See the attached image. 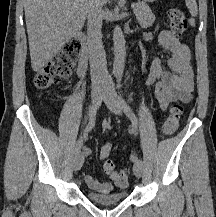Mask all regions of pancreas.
<instances>
[{
  "mask_svg": "<svg viewBox=\"0 0 216 217\" xmlns=\"http://www.w3.org/2000/svg\"><path fill=\"white\" fill-rule=\"evenodd\" d=\"M134 14L141 27L148 28L155 22V15L150 10L149 6L143 2L135 5Z\"/></svg>",
  "mask_w": 216,
  "mask_h": 217,
  "instance_id": "pancreas-1",
  "label": "pancreas"
}]
</instances>
